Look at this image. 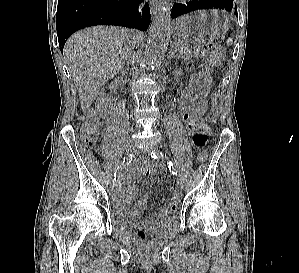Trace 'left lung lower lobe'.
Returning <instances> with one entry per match:
<instances>
[{
  "mask_svg": "<svg viewBox=\"0 0 299 273\" xmlns=\"http://www.w3.org/2000/svg\"><path fill=\"white\" fill-rule=\"evenodd\" d=\"M209 8H220L228 11L235 10L237 14V6L235 0H192L185 4H176L172 8V18H176L185 13Z\"/></svg>",
  "mask_w": 299,
  "mask_h": 273,
  "instance_id": "1",
  "label": "left lung lower lobe"
}]
</instances>
